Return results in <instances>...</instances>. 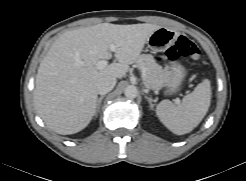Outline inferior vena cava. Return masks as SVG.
Wrapping results in <instances>:
<instances>
[{
	"label": "inferior vena cava",
	"mask_w": 246,
	"mask_h": 181,
	"mask_svg": "<svg viewBox=\"0 0 246 181\" xmlns=\"http://www.w3.org/2000/svg\"><path fill=\"white\" fill-rule=\"evenodd\" d=\"M116 84V78L115 77H103L101 78L97 84H96V91L100 95L107 94L110 92Z\"/></svg>",
	"instance_id": "obj_1"
}]
</instances>
